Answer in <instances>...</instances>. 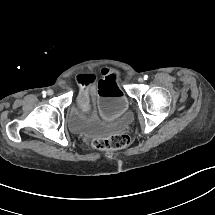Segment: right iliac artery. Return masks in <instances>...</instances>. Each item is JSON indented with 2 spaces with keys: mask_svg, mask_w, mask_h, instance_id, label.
<instances>
[{
  "mask_svg": "<svg viewBox=\"0 0 215 215\" xmlns=\"http://www.w3.org/2000/svg\"><path fill=\"white\" fill-rule=\"evenodd\" d=\"M42 94H43V96H46V92L45 91H43Z\"/></svg>",
  "mask_w": 215,
  "mask_h": 215,
  "instance_id": "82829eb1",
  "label": "right iliac artery"
}]
</instances>
